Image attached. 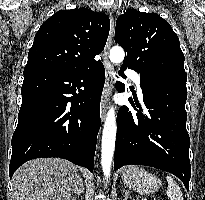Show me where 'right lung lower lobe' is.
<instances>
[{
	"label": "right lung lower lobe",
	"mask_w": 205,
	"mask_h": 200,
	"mask_svg": "<svg viewBox=\"0 0 205 200\" xmlns=\"http://www.w3.org/2000/svg\"><path fill=\"white\" fill-rule=\"evenodd\" d=\"M22 105L13 134L9 176L28 160L60 157L90 171L100 128L105 69H24Z\"/></svg>",
	"instance_id": "98d812e1"
}]
</instances>
